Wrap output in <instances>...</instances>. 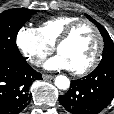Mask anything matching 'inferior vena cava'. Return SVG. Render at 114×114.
Segmentation results:
<instances>
[{
    "label": "inferior vena cava",
    "mask_w": 114,
    "mask_h": 114,
    "mask_svg": "<svg viewBox=\"0 0 114 114\" xmlns=\"http://www.w3.org/2000/svg\"><path fill=\"white\" fill-rule=\"evenodd\" d=\"M42 60H43V58L35 56V57H31L29 59V62L34 65H40L42 63Z\"/></svg>",
    "instance_id": "inferior-vena-cava-1"
}]
</instances>
